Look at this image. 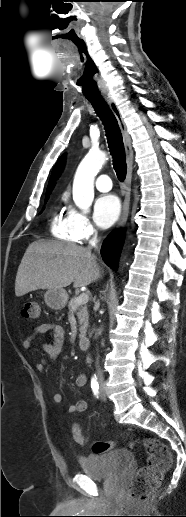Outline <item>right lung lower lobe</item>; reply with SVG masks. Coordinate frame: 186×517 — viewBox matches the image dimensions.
<instances>
[{
    "label": "right lung lower lobe",
    "mask_w": 186,
    "mask_h": 517,
    "mask_svg": "<svg viewBox=\"0 0 186 517\" xmlns=\"http://www.w3.org/2000/svg\"><path fill=\"white\" fill-rule=\"evenodd\" d=\"M124 240V231H114L109 235L107 239H105L102 248L101 255L105 263L111 267L113 270H116L117 267V259L120 256L121 249L123 246Z\"/></svg>",
    "instance_id": "1"
}]
</instances>
